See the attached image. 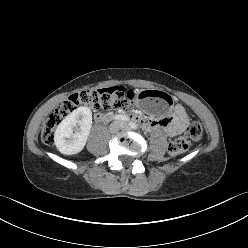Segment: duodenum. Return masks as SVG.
<instances>
[{
    "label": "duodenum",
    "mask_w": 248,
    "mask_h": 248,
    "mask_svg": "<svg viewBox=\"0 0 248 248\" xmlns=\"http://www.w3.org/2000/svg\"><path fill=\"white\" fill-rule=\"evenodd\" d=\"M97 118H98V119H103L104 116H103V115H98Z\"/></svg>",
    "instance_id": "1"
}]
</instances>
